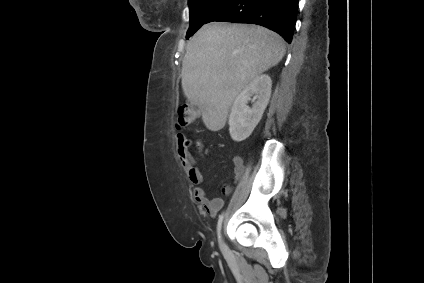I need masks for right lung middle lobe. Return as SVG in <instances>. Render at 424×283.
Instances as JSON below:
<instances>
[{
    "label": "right lung middle lobe",
    "mask_w": 424,
    "mask_h": 283,
    "mask_svg": "<svg viewBox=\"0 0 424 283\" xmlns=\"http://www.w3.org/2000/svg\"><path fill=\"white\" fill-rule=\"evenodd\" d=\"M229 0H189L190 26L186 38L192 36L203 24L222 9Z\"/></svg>",
    "instance_id": "right-lung-middle-lobe-1"
}]
</instances>
